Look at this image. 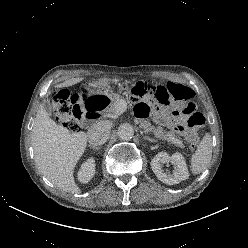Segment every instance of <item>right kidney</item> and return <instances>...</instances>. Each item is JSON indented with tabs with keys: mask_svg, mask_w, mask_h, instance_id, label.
<instances>
[{
	"mask_svg": "<svg viewBox=\"0 0 248 248\" xmlns=\"http://www.w3.org/2000/svg\"><path fill=\"white\" fill-rule=\"evenodd\" d=\"M95 174V160L93 158L88 159L82 164L78 171V180L81 183H88Z\"/></svg>",
	"mask_w": 248,
	"mask_h": 248,
	"instance_id": "right-kidney-1",
	"label": "right kidney"
}]
</instances>
